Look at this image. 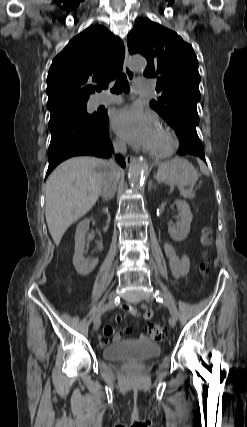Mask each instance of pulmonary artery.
I'll list each match as a JSON object with an SVG mask.
<instances>
[{
  "mask_svg": "<svg viewBox=\"0 0 247 427\" xmlns=\"http://www.w3.org/2000/svg\"><path fill=\"white\" fill-rule=\"evenodd\" d=\"M149 89V84L147 81L144 80H140V81H136L134 84V92L136 94H142L144 92H146ZM122 100L120 97L117 96H113V97H107V98H103L100 101V104L102 105H111V104H117L120 103Z\"/></svg>",
  "mask_w": 247,
  "mask_h": 427,
  "instance_id": "obj_1",
  "label": "pulmonary artery"
}]
</instances>
